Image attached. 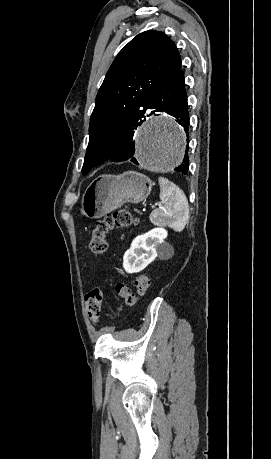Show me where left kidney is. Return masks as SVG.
I'll list each match as a JSON object with an SVG mask.
<instances>
[{
    "instance_id": "1",
    "label": "left kidney",
    "mask_w": 271,
    "mask_h": 459,
    "mask_svg": "<svg viewBox=\"0 0 271 459\" xmlns=\"http://www.w3.org/2000/svg\"><path fill=\"white\" fill-rule=\"evenodd\" d=\"M166 237V231L162 228H154L143 235H137L133 239L129 249L123 257V267L128 273H136L151 263L157 255V249L162 245Z\"/></svg>"
}]
</instances>
